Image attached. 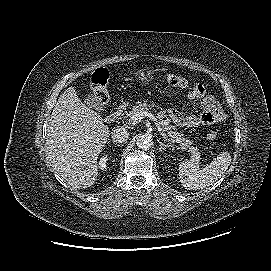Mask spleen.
Listing matches in <instances>:
<instances>
[{"label": "spleen", "instance_id": "obj_1", "mask_svg": "<svg viewBox=\"0 0 271 271\" xmlns=\"http://www.w3.org/2000/svg\"><path fill=\"white\" fill-rule=\"evenodd\" d=\"M231 163L229 152L220 153L202 170L193 159L184 160L179 165V179L187 190H200L216 182L228 169Z\"/></svg>", "mask_w": 271, "mask_h": 271}]
</instances>
